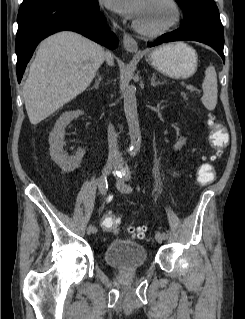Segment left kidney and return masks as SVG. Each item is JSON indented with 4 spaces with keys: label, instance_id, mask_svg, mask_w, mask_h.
Wrapping results in <instances>:
<instances>
[{
    "label": "left kidney",
    "instance_id": "left-kidney-1",
    "mask_svg": "<svg viewBox=\"0 0 245 319\" xmlns=\"http://www.w3.org/2000/svg\"><path fill=\"white\" fill-rule=\"evenodd\" d=\"M185 143H186V139L180 138L179 141L174 145V149L180 150Z\"/></svg>",
    "mask_w": 245,
    "mask_h": 319
}]
</instances>
